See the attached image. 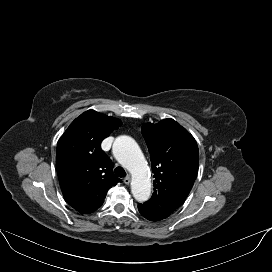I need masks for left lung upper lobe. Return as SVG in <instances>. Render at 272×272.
<instances>
[{"label":"left lung upper lobe","mask_w":272,"mask_h":272,"mask_svg":"<svg viewBox=\"0 0 272 272\" xmlns=\"http://www.w3.org/2000/svg\"><path fill=\"white\" fill-rule=\"evenodd\" d=\"M151 154L154 192L140 204L167 218L187 198L199 167V150L194 137L171 118L141 128Z\"/></svg>","instance_id":"obj_1"}]
</instances>
